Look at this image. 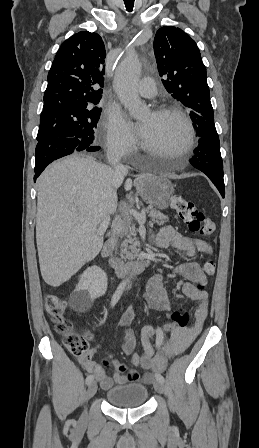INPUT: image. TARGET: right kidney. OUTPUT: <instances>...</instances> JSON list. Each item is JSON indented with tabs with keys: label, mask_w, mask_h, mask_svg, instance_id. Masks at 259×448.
<instances>
[{
	"label": "right kidney",
	"mask_w": 259,
	"mask_h": 448,
	"mask_svg": "<svg viewBox=\"0 0 259 448\" xmlns=\"http://www.w3.org/2000/svg\"><path fill=\"white\" fill-rule=\"evenodd\" d=\"M106 290L107 276L104 270L91 266L80 276L79 284L69 298L70 308L83 314L91 308L96 298L104 296Z\"/></svg>",
	"instance_id": "right-kidney-1"
}]
</instances>
